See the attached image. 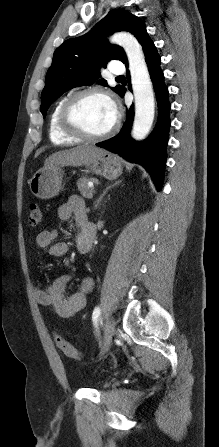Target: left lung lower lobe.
Returning <instances> with one entry per match:
<instances>
[{"mask_svg": "<svg viewBox=\"0 0 219 447\" xmlns=\"http://www.w3.org/2000/svg\"><path fill=\"white\" fill-rule=\"evenodd\" d=\"M141 45L158 103V122L156 128L143 142L135 143L131 140L130 129L134 119V109L131 106L127 110L126 122L118 135L97 143L96 146L119 154L130 162L141 164L152 176L157 189L161 190L166 163V145L170 126L169 110L171 105L168 101L169 93L164 83V74L160 68L161 59L156 51V47L149 36L144 38ZM125 65L128 68V62ZM129 77V72H127V78L129 79ZM125 92L126 89L124 88L121 94L122 97Z\"/></svg>", "mask_w": 219, "mask_h": 447, "instance_id": "0a47b994", "label": "left lung lower lobe"}]
</instances>
